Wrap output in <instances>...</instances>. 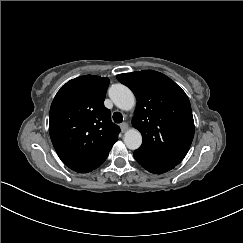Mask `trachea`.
<instances>
[{
  "mask_svg": "<svg viewBox=\"0 0 243 243\" xmlns=\"http://www.w3.org/2000/svg\"><path fill=\"white\" fill-rule=\"evenodd\" d=\"M112 118L115 123H121L123 121V116L120 112H114Z\"/></svg>",
  "mask_w": 243,
  "mask_h": 243,
  "instance_id": "obj_1",
  "label": "trachea"
}]
</instances>
